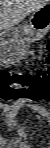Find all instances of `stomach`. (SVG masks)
I'll return each mask as SVG.
<instances>
[{"label": "stomach", "mask_w": 50, "mask_h": 148, "mask_svg": "<svg viewBox=\"0 0 50 148\" xmlns=\"http://www.w3.org/2000/svg\"><path fill=\"white\" fill-rule=\"evenodd\" d=\"M30 28L36 39L43 37L50 30V5L47 4L41 9L34 11L30 17ZM26 46L20 42L6 43L1 57L3 63H15L26 55Z\"/></svg>", "instance_id": "1"}]
</instances>
